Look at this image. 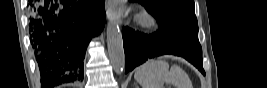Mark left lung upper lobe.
<instances>
[{"label":"left lung upper lobe","instance_id":"obj_1","mask_svg":"<svg viewBox=\"0 0 267 88\" xmlns=\"http://www.w3.org/2000/svg\"><path fill=\"white\" fill-rule=\"evenodd\" d=\"M151 13L160 26L198 30L194 0H135Z\"/></svg>","mask_w":267,"mask_h":88}]
</instances>
